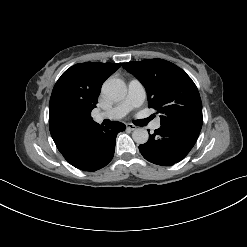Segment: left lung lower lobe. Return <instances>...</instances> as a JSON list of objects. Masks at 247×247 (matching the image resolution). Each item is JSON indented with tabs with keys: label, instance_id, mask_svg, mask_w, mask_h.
Segmentation results:
<instances>
[{
	"label": "left lung lower lobe",
	"instance_id": "0a47b994",
	"mask_svg": "<svg viewBox=\"0 0 247 247\" xmlns=\"http://www.w3.org/2000/svg\"><path fill=\"white\" fill-rule=\"evenodd\" d=\"M200 131L194 129L161 125L149 140L139 146L142 156L149 162L171 166L181 161L193 148Z\"/></svg>",
	"mask_w": 247,
	"mask_h": 247
}]
</instances>
